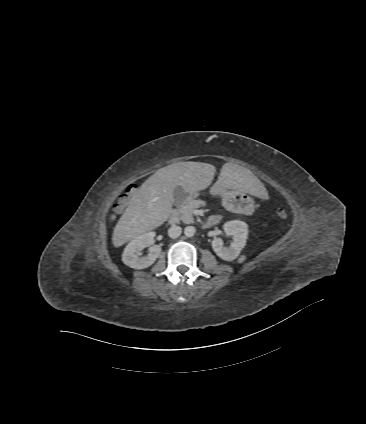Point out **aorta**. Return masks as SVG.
<instances>
[{"label":"aorta","instance_id":"obj_1","mask_svg":"<svg viewBox=\"0 0 366 424\" xmlns=\"http://www.w3.org/2000/svg\"><path fill=\"white\" fill-rule=\"evenodd\" d=\"M195 232H196V230H195V227H193V226H187V227H185V229H184V234H185L187 237H192V236H194Z\"/></svg>","mask_w":366,"mask_h":424}]
</instances>
